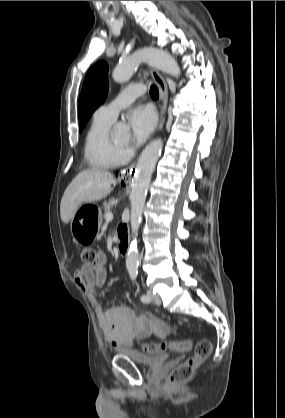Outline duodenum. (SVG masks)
Returning <instances> with one entry per match:
<instances>
[{
	"instance_id": "410a0bca",
	"label": "duodenum",
	"mask_w": 285,
	"mask_h": 418,
	"mask_svg": "<svg viewBox=\"0 0 285 418\" xmlns=\"http://www.w3.org/2000/svg\"><path fill=\"white\" fill-rule=\"evenodd\" d=\"M117 238L119 240V243H118L119 253L123 256H126L129 252L130 243H129L127 235L122 233L121 228H118Z\"/></svg>"
}]
</instances>
